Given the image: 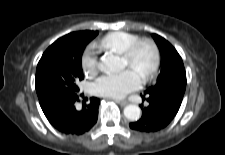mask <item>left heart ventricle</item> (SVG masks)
<instances>
[{
	"label": "left heart ventricle",
	"instance_id": "1",
	"mask_svg": "<svg viewBox=\"0 0 225 155\" xmlns=\"http://www.w3.org/2000/svg\"><path fill=\"white\" fill-rule=\"evenodd\" d=\"M152 62V54L148 47L143 46L139 49L135 61L130 64L125 58H122V64L124 67H129L135 70L141 77L148 70Z\"/></svg>",
	"mask_w": 225,
	"mask_h": 155
}]
</instances>
